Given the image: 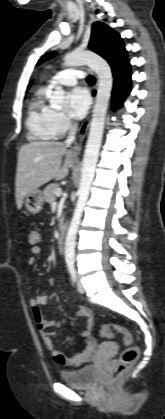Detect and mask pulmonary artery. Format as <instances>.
<instances>
[{
    "instance_id": "e3ab8cb5",
    "label": "pulmonary artery",
    "mask_w": 165,
    "mask_h": 419,
    "mask_svg": "<svg viewBox=\"0 0 165 419\" xmlns=\"http://www.w3.org/2000/svg\"><path fill=\"white\" fill-rule=\"evenodd\" d=\"M84 78V73L78 69L71 68L63 70L51 77L52 84H60L64 86H73L79 79Z\"/></svg>"
}]
</instances>
